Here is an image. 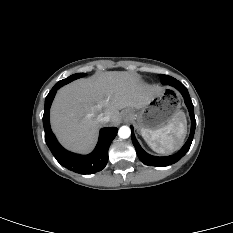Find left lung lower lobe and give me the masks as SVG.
<instances>
[{"label": "left lung lower lobe", "instance_id": "left-lung-lower-lobe-1", "mask_svg": "<svg viewBox=\"0 0 233 233\" xmlns=\"http://www.w3.org/2000/svg\"><path fill=\"white\" fill-rule=\"evenodd\" d=\"M168 85L176 88L182 94V96L184 98L185 104L189 110V114L191 117V132H190V136H189L187 142L184 144V146L177 153L170 155V156H166V157H157V156H152V155L146 153L141 148L140 144L138 143V141L135 138V135L133 132V127L131 126V130H132L131 137H132L133 145L135 146V149H136V153H137L139 159L144 164L149 165V166L165 167V166H169V165L176 163L187 153V151L189 150V148L191 146L193 137H194L196 120H195V116H194V107H193L192 101L190 99L188 90L180 81L176 80L175 78L170 80Z\"/></svg>", "mask_w": 233, "mask_h": 233}]
</instances>
